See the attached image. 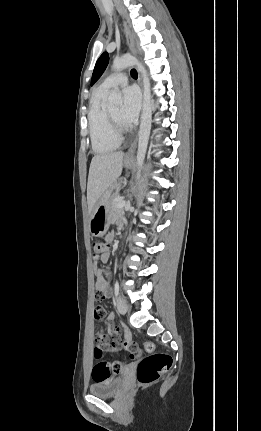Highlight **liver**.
Listing matches in <instances>:
<instances>
[{
  "label": "liver",
  "mask_w": 261,
  "mask_h": 431,
  "mask_svg": "<svg viewBox=\"0 0 261 431\" xmlns=\"http://www.w3.org/2000/svg\"><path fill=\"white\" fill-rule=\"evenodd\" d=\"M123 157V152H113L95 155L92 158L87 183V203L90 214L100 197L120 177Z\"/></svg>",
  "instance_id": "1"
}]
</instances>
